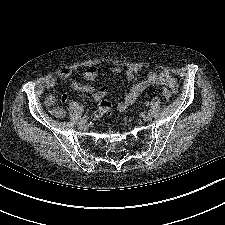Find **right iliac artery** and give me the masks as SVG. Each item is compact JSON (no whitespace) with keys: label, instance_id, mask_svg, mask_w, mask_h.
Returning a JSON list of instances; mask_svg holds the SVG:
<instances>
[{"label":"right iliac artery","instance_id":"1","mask_svg":"<svg viewBox=\"0 0 225 225\" xmlns=\"http://www.w3.org/2000/svg\"><path fill=\"white\" fill-rule=\"evenodd\" d=\"M88 119L87 115H84L82 119H80V121H86Z\"/></svg>","mask_w":225,"mask_h":225}]
</instances>
